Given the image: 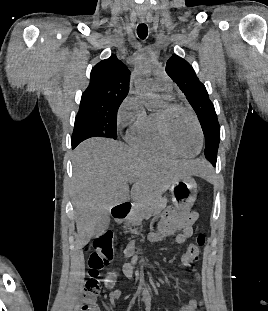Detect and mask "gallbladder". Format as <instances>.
Here are the masks:
<instances>
[{
  "mask_svg": "<svg viewBox=\"0 0 268 311\" xmlns=\"http://www.w3.org/2000/svg\"><path fill=\"white\" fill-rule=\"evenodd\" d=\"M109 217L104 216L103 219H98L97 224L99 226V232L103 233L104 230L108 227L109 225Z\"/></svg>",
  "mask_w": 268,
  "mask_h": 311,
  "instance_id": "obj_1",
  "label": "gallbladder"
}]
</instances>
